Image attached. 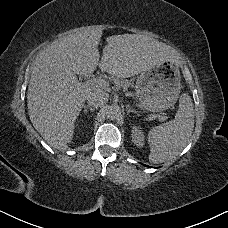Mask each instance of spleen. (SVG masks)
I'll list each match as a JSON object with an SVG mask.
<instances>
[{"label": "spleen", "mask_w": 228, "mask_h": 228, "mask_svg": "<svg viewBox=\"0 0 228 228\" xmlns=\"http://www.w3.org/2000/svg\"><path fill=\"white\" fill-rule=\"evenodd\" d=\"M194 117L195 110L190 95L181 94L175 119L147 130L150 163L160 164L177 159L192 135Z\"/></svg>", "instance_id": "3e777b00"}]
</instances>
